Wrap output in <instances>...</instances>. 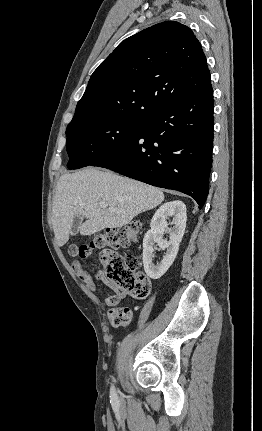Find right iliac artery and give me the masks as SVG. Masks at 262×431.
I'll return each instance as SVG.
<instances>
[{"instance_id":"1","label":"right iliac artery","mask_w":262,"mask_h":431,"mask_svg":"<svg viewBox=\"0 0 262 431\" xmlns=\"http://www.w3.org/2000/svg\"><path fill=\"white\" fill-rule=\"evenodd\" d=\"M110 398H111V400H118V395H117L115 389H111Z\"/></svg>"}]
</instances>
